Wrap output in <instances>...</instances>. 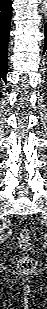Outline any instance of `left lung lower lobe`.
<instances>
[{
    "label": "left lung lower lobe",
    "mask_w": 47,
    "mask_h": 309,
    "mask_svg": "<svg viewBox=\"0 0 47 309\" xmlns=\"http://www.w3.org/2000/svg\"><path fill=\"white\" fill-rule=\"evenodd\" d=\"M47 50V23L45 24V44H44V49L43 53Z\"/></svg>",
    "instance_id": "obj_1"
}]
</instances>
